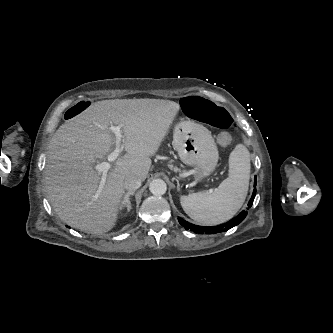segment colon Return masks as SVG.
<instances>
[{
  "mask_svg": "<svg viewBox=\"0 0 333 333\" xmlns=\"http://www.w3.org/2000/svg\"><path fill=\"white\" fill-rule=\"evenodd\" d=\"M88 108V103L82 101L72 106L65 113V119L70 120L83 113ZM182 108L193 119L213 127L228 130L233 128L237 135L242 134V127L235 126L229 113L222 107L215 105L210 100L201 96H187L182 100Z\"/></svg>",
  "mask_w": 333,
  "mask_h": 333,
  "instance_id": "obj_1",
  "label": "colon"
}]
</instances>
